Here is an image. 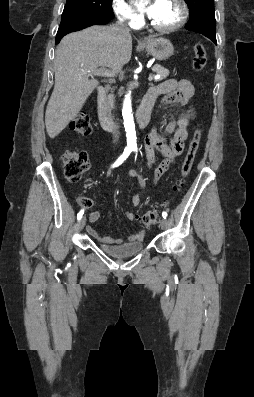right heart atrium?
Listing matches in <instances>:
<instances>
[{
	"instance_id": "obj_1",
	"label": "right heart atrium",
	"mask_w": 254,
	"mask_h": 397,
	"mask_svg": "<svg viewBox=\"0 0 254 397\" xmlns=\"http://www.w3.org/2000/svg\"><path fill=\"white\" fill-rule=\"evenodd\" d=\"M113 10L121 22L131 27H136L142 22V16L125 0H114Z\"/></svg>"
}]
</instances>
